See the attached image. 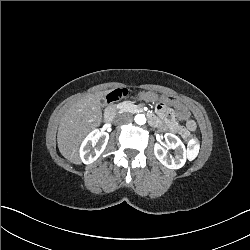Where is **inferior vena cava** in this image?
Wrapping results in <instances>:
<instances>
[{
    "mask_svg": "<svg viewBox=\"0 0 250 250\" xmlns=\"http://www.w3.org/2000/svg\"><path fill=\"white\" fill-rule=\"evenodd\" d=\"M133 120V116L131 113H122L117 115L116 117V123L118 124H129Z\"/></svg>",
    "mask_w": 250,
    "mask_h": 250,
    "instance_id": "inferior-vena-cava-1",
    "label": "inferior vena cava"
}]
</instances>
